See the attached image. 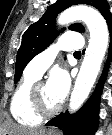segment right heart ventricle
<instances>
[{
    "mask_svg": "<svg viewBox=\"0 0 112 135\" xmlns=\"http://www.w3.org/2000/svg\"><path fill=\"white\" fill-rule=\"evenodd\" d=\"M37 80L38 77L25 72L10 101L11 116L22 126H36L42 121V117L34 113L29 102L30 90Z\"/></svg>",
    "mask_w": 112,
    "mask_h": 135,
    "instance_id": "e07e8e85",
    "label": "right heart ventricle"
}]
</instances>
